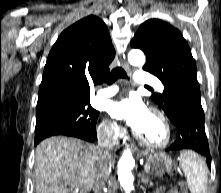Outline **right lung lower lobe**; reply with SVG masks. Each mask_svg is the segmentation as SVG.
<instances>
[{
    "label": "right lung lower lobe",
    "mask_w": 221,
    "mask_h": 193,
    "mask_svg": "<svg viewBox=\"0 0 221 193\" xmlns=\"http://www.w3.org/2000/svg\"><path fill=\"white\" fill-rule=\"evenodd\" d=\"M60 135L73 136V137L84 139L89 142H94L97 137L96 131H94L92 133H78V132H74V131H66ZM44 138H46V137H44ZM44 138L35 139V146Z\"/></svg>",
    "instance_id": "1"
}]
</instances>
